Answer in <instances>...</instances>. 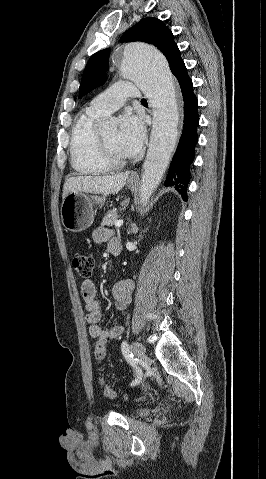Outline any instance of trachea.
I'll list each match as a JSON object with an SVG mask.
<instances>
[{
  "label": "trachea",
  "instance_id": "obj_1",
  "mask_svg": "<svg viewBox=\"0 0 266 479\" xmlns=\"http://www.w3.org/2000/svg\"><path fill=\"white\" fill-rule=\"evenodd\" d=\"M141 102H146V99H142Z\"/></svg>",
  "mask_w": 266,
  "mask_h": 479
}]
</instances>
